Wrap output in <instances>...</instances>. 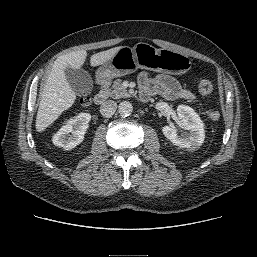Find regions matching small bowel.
Masks as SVG:
<instances>
[{
	"label": "small bowel",
	"mask_w": 257,
	"mask_h": 257,
	"mask_svg": "<svg viewBox=\"0 0 257 257\" xmlns=\"http://www.w3.org/2000/svg\"><path fill=\"white\" fill-rule=\"evenodd\" d=\"M138 81L142 100H147L155 95H161L167 100L195 98L192 90L182 87L179 81L170 75L142 72Z\"/></svg>",
	"instance_id": "1"
}]
</instances>
